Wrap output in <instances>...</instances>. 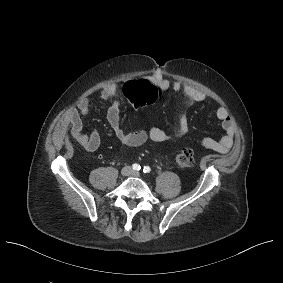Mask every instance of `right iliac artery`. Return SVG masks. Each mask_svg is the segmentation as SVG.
I'll return each mask as SVG.
<instances>
[{
  "label": "right iliac artery",
  "instance_id": "1",
  "mask_svg": "<svg viewBox=\"0 0 283 283\" xmlns=\"http://www.w3.org/2000/svg\"><path fill=\"white\" fill-rule=\"evenodd\" d=\"M133 170L139 171L141 169V166L139 164H133L132 165Z\"/></svg>",
  "mask_w": 283,
  "mask_h": 283
}]
</instances>
